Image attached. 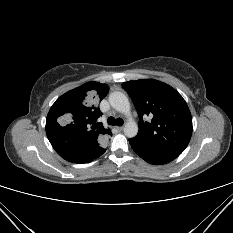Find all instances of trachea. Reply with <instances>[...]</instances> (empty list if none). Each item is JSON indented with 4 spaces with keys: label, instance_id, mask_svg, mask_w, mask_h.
<instances>
[{
    "label": "trachea",
    "instance_id": "obj_1",
    "mask_svg": "<svg viewBox=\"0 0 233 233\" xmlns=\"http://www.w3.org/2000/svg\"><path fill=\"white\" fill-rule=\"evenodd\" d=\"M107 122L109 125H112V126H115V125L122 126L124 123L123 119H121V118L115 119L114 117H109L107 119Z\"/></svg>",
    "mask_w": 233,
    "mask_h": 233
}]
</instances>
